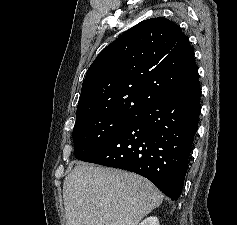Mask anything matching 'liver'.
Instances as JSON below:
<instances>
[{"instance_id":"obj_1","label":"liver","mask_w":237,"mask_h":225,"mask_svg":"<svg viewBox=\"0 0 237 225\" xmlns=\"http://www.w3.org/2000/svg\"><path fill=\"white\" fill-rule=\"evenodd\" d=\"M66 225H137L163 201L146 178L79 162L63 183Z\"/></svg>"}]
</instances>
